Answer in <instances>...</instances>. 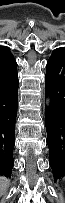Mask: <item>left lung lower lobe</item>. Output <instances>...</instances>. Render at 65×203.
<instances>
[{
	"label": "left lung lower lobe",
	"mask_w": 65,
	"mask_h": 203,
	"mask_svg": "<svg viewBox=\"0 0 65 203\" xmlns=\"http://www.w3.org/2000/svg\"><path fill=\"white\" fill-rule=\"evenodd\" d=\"M45 88L52 94L45 124L54 180L65 177V47L54 50L47 62Z\"/></svg>",
	"instance_id": "1"
}]
</instances>
